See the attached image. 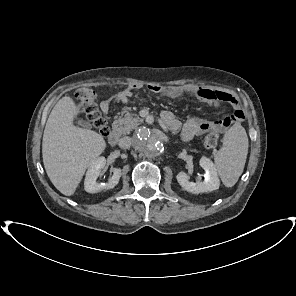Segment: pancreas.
<instances>
[{
	"instance_id": "1",
	"label": "pancreas",
	"mask_w": 296,
	"mask_h": 296,
	"mask_svg": "<svg viewBox=\"0 0 296 296\" xmlns=\"http://www.w3.org/2000/svg\"><path fill=\"white\" fill-rule=\"evenodd\" d=\"M142 119L134 113H130L128 111H122L120 114L115 116V121L113 126L116 130L122 134H129L133 129H135L140 123Z\"/></svg>"
}]
</instances>
